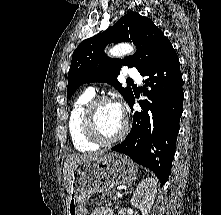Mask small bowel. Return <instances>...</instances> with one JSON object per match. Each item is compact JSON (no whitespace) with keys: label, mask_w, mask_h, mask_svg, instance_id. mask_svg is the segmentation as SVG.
I'll return each instance as SVG.
<instances>
[{"label":"small bowel","mask_w":221,"mask_h":215,"mask_svg":"<svg viewBox=\"0 0 221 215\" xmlns=\"http://www.w3.org/2000/svg\"><path fill=\"white\" fill-rule=\"evenodd\" d=\"M92 215H112V213L109 209L100 207V208L95 209Z\"/></svg>","instance_id":"small-bowel-1"}]
</instances>
